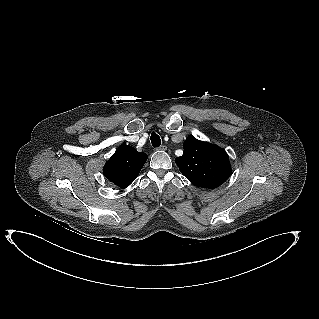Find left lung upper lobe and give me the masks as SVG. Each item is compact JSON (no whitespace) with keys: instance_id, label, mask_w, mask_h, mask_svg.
Returning <instances> with one entry per match:
<instances>
[{"instance_id":"1","label":"left lung upper lobe","mask_w":319,"mask_h":319,"mask_svg":"<svg viewBox=\"0 0 319 319\" xmlns=\"http://www.w3.org/2000/svg\"><path fill=\"white\" fill-rule=\"evenodd\" d=\"M181 173L195 186L216 188L231 174L229 157L219 146L190 136L184 142V152L175 159Z\"/></svg>"}]
</instances>
